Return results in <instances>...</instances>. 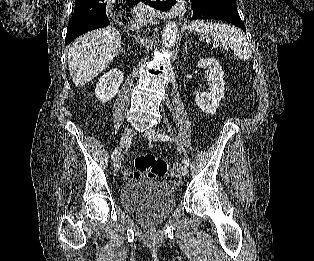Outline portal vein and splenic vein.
Instances as JSON below:
<instances>
[{"label":"portal vein and splenic vein","instance_id":"obj_1","mask_svg":"<svg viewBox=\"0 0 314 261\" xmlns=\"http://www.w3.org/2000/svg\"><path fill=\"white\" fill-rule=\"evenodd\" d=\"M213 46H214V47H217V43H214Z\"/></svg>","mask_w":314,"mask_h":261}]
</instances>
